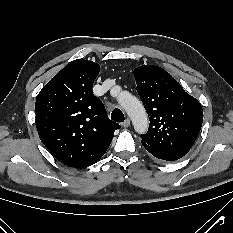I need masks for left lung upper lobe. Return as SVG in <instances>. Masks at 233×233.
I'll use <instances>...</instances> for the list:
<instances>
[{
    "instance_id": "obj_1",
    "label": "left lung upper lobe",
    "mask_w": 233,
    "mask_h": 233,
    "mask_svg": "<svg viewBox=\"0 0 233 233\" xmlns=\"http://www.w3.org/2000/svg\"><path fill=\"white\" fill-rule=\"evenodd\" d=\"M137 92L150 124L142 142L184 156L194 144L203 122V110L164 69L139 66L134 70Z\"/></svg>"
}]
</instances>
